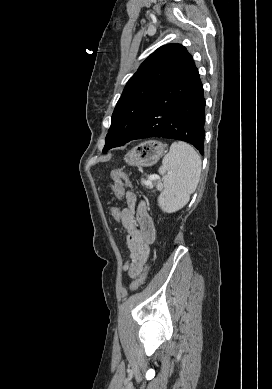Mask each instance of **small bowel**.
<instances>
[{"mask_svg":"<svg viewBox=\"0 0 272 389\" xmlns=\"http://www.w3.org/2000/svg\"><path fill=\"white\" fill-rule=\"evenodd\" d=\"M125 202L120 222L127 233L126 243L130 255L124 270L130 277L135 278L147 261L150 245L155 239V227L145 204L138 203L135 193L126 192Z\"/></svg>","mask_w":272,"mask_h":389,"instance_id":"1","label":"small bowel"}]
</instances>
